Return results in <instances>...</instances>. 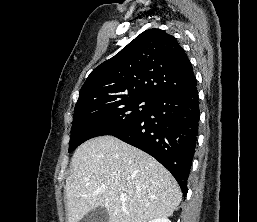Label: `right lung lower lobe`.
Listing matches in <instances>:
<instances>
[{
	"mask_svg": "<svg viewBox=\"0 0 257 222\" xmlns=\"http://www.w3.org/2000/svg\"><path fill=\"white\" fill-rule=\"evenodd\" d=\"M199 118L195 82L188 88L156 99L150 113L112 136L153 156L171 172L186 195Z\"/></svg>",
	"mask_w": 257,
	"mask_h": 222,
	"instance_id": "obj_1",
	"label": "right lung lower lobe"
}]
</instances>
